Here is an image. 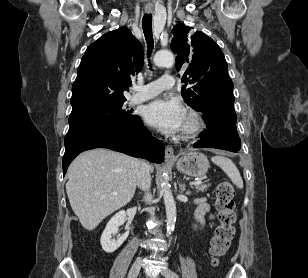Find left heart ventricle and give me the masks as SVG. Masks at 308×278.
Instances as JSON below:
<instances>
[{"mask_svg": "<svg viewBox=\"0 0 308 278\" xmlns=\"http://www.w3.org/2000/svg\"><path fill=\"white\" fill-rule=\"evenodd\" d=\"M187 125H188V118L186 116L182 129L185 128Z\"/></svg>", "mask_w": 308, "mask_h": 278, "instance_id": "obj_1", "label": "left heart ventricle"}]
</instances>
